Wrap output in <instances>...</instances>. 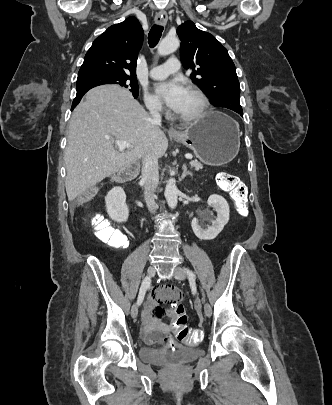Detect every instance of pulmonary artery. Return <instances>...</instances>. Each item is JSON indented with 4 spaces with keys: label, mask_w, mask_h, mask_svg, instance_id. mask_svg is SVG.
Returning <instances> with one entry per match:
<instances>
[{
    "label": "pulmonary artery",
    "mask_w": 332,
    "mask_h": 405,
    "mask_svg": "<svg viewBox=\"0 0 332 405\" xmlns=\"http://www.w3.org/2000/svg\"><path fill=\"white\" fill-rule=\"evenodd\" d=\"M179 70V61L177 58H169L163 65L155 66L150 69L149 75L151 78L159 80L175 73Z\"/></svg>",
    "instance_id": "obj_1"
}]
</instances>
